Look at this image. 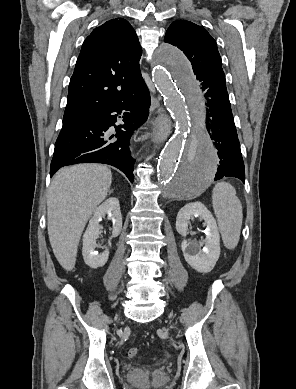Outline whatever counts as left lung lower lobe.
<instances>
[{
	"label": "left lung lower lobe",
	"instance_id": "0a47b994",
	"mask_svg": "<svg viewBox=\"0 0 296 389\" xmlns=\"http://www.w3.org/2000/svg\"><path fill=\"white\" fill-rule=\"evenodd\" d=\"M202 92L187 88V94L194 107V117L204 120L206 128L218 150L219 166L215 180L235 177L245 182V170L238 140L225 75L201 76Z\"/></svg>",
	"mask_w": 296,
	"mask_h": 389
}]
</instances>
